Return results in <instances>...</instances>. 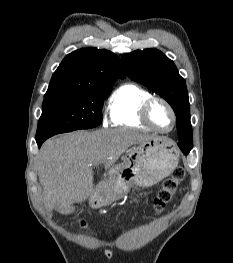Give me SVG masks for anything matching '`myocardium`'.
<instances>
[{
  "instance_id": "f54148a6",
  "label": "myocardium",
  "mask_w": 233,
  "mask_h": 263,
  "mask_svg": "<svg viewBox=\"0 0 233 263\" xmlns=\"http://www.w3.org/2000/svg\"><path fill=\"white\" fill-rule=\"evenodd\" d=\"M156 102L163 103L166 106V108L169 110L172 116V125L167 130H162L158 128L151 119L150 111H151L153 104ZM140 118L149 128H151L152 130L158 133H162V134L170 133L175 128L176 122H177L176 113L173 107L171 106V104L166 99L162 97H158V96H151L142 104L141 110H140Z\"/></svg>"
}]
</instances>
